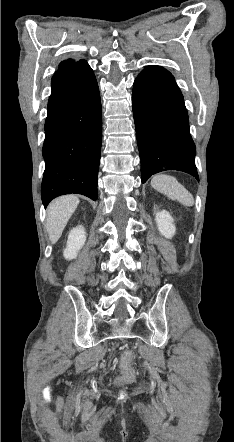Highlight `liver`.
I'll return each instance as SVG.
<instances>
[{"label": "liver", "mask_w": 234, "mask_h": 442, "mask_svg": "<svg viewBox=\"0 0 234 442\" xmlns=\"http://www.w3.org/2000/svg\"><path fill=\"white\" fill-rule=\"evenodd\" d=\"M79 204V198L75 195L61 196L50 203L47 209L46 229L50 241L56 243L62 232L75 212Z\"/></svg>", "instance_id": "6515ba94"}]
</instances>
